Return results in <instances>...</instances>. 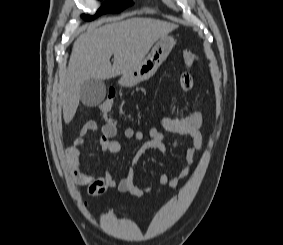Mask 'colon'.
Segmentation results:
<instances>
[{
  "label": "colon",
  "mask_w": 283,
  "mask_h": 245,
  "mask_svg": "<svg viewBox=\"0 0 283 245\" xmlns=\"http://www.w3.org/2000/svg\"><path fill=\"white\" fill-rule=\"evenodd\" d=\"M196 59H197V54L193 50H185L183 52V62L185 66L187 67L192 66L195 63ZM114 98H115V92L110 90L106 99L98 104L97 107L99 111L103 113L105 116H109L114 104ZM138 189L142 193L146 191L145 189L142 188H138Z\"/></svg>",
  "instance_id": "obj_1"
}]
</instances>
